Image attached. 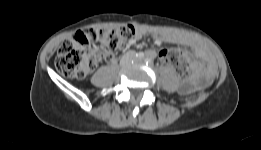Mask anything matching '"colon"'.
<instances>
[{"instance_id": "colon-1", "label": "colon", "mask_w": 261, "mask_h": 150, "mask_svg": "<svg viewBox=\"0 0 261 150\" xmlns=\"http://www.w3.org/2000/svg\"><path fill=\"white\" fill-rule=\"evenodd\" d=\"M135 34L131 25L77 32L59 48L55 66L64 76L83 79L94 70L101 57L123 50ZM95 42L102 47H94ZM162 56L164 63L173 66L180 77H188L190 63L186 54L177 49H165Z\"/></svg>"}]
</instances>
